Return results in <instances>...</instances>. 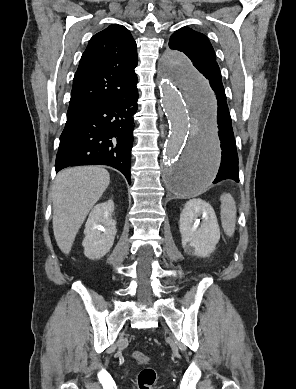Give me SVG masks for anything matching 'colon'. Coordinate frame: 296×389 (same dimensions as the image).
Instances as JSON below:
<instances>
[{
	"instance_id": "5ec220e1",
	"label": "colon",
	"mask_w": 296,
	"mask_h": 389,
	"mask_svg": "<svg viewBox=\"0 0 296 389\" xmlns=\"http://www.w3.org/2000/svg\"><path fill=\"white\" fill-rule=\"evenodd\" d=\"M132 357L139 363L146 364L150 361V358L140 351H134ZM157 379V373L153 368H143L137 378L138 389H153Z\"/></svg>"
}]
</instances>
